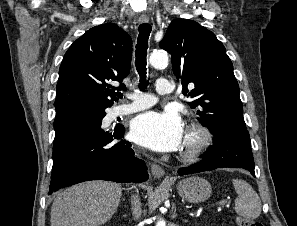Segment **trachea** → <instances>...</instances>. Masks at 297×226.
I'll return each instance as SVG.
<instances>
[{
  "mask_svg": "<svg viewBox=\"0 0 297 226\" xmlns=\"http://www.w3.org/2000/svg\"><path fill=\"white\" fill-rule=\"evenodd\" d=\"M151 26L147 23H143L139 26L138 31L139 35L137 38L136 50H135V66L137 72L140 76L139 88L143 91L148 86V81L146 80V57L148 49V39L151 33ZM116 95L118 98H122L123 95L120 92H117Z\"/></svg>",
  "mask_w": 297,
  "mask_h": 226,
  "instance_id": "obj_1",
  "label": "trachea"
}]
</instances>
